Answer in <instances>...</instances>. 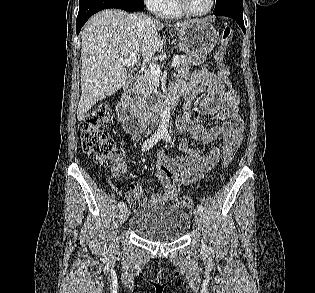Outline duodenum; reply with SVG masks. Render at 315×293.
<instances>
[{
    "label": "duodenum",
    "instance_id": "duodenum-1",
    "mask_svg": "<svg viewBox=\"0 0 315 293\" xmlns=\"http://www.w3.org/2000/svg\"><path fill=\"white\" fill-rule=\"evenodd\" d=\"M135 87L136 80L128 83L124 87L122 95L116 105L118 118L123 122L125 130L132 134H137L145 130L146 127L166 109L176 106L180 97L176 92L171 91L164 101L145 112H139L129 103L135 91Z\"/></svg>",
    "mask_w": 315,
    "mask_h": 293
}]
</instances>
